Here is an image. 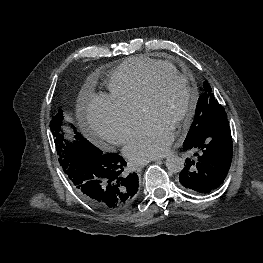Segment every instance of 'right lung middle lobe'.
<instances>
[{
	"mask_svg": "<svg viewBox=\"0 0 263 263\" xmlns=\"http://www.w3.org/2000/svg\"><path fill=\"white\" fill-rule=\"evenodd\" d=\"M75 128L72 124H67L64 120L63 112L60 109L52 118L50 128L54 135L56 151L59 162L63 170L69 167L72 159L79 153H96L102 154V151L85 139L77 131L71 134L68 128Z\"/></svg>",
	"mask_w": 263,
	"mask_h": 263,
	"instance_id": "obj_1",
	"label": "right lung middle lobe"
}]
</instances>
